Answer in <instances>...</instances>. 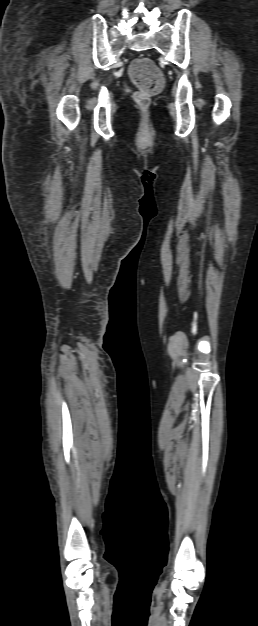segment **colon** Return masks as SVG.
I'll use <instances>...</instances> for the list:
<instances>
[{
    "label": "colon",
    "instance_id": "5ec220e1",
    "mask_svg": "<svg viewBox=\"0 0 258 626\" xmlns=\"http://www.w3.org/2000/svg\"><path fill=\"white\" fill-rule=\"evenodd\" d=\"M129 74L137 87L134 93L136 104L142 109H147L152 97L163 87L164 77L161 70L151 59L137 58L131 63Z\"/></svg>",
    "mask_w": 258,
    "mask_h": 626
}]
</instances>
